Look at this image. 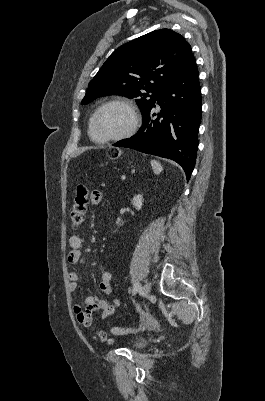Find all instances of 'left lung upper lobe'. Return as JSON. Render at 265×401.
I'll return each mask as SVG.
<instances>
[{
    "label": "left lung upper lobe",
    "mask_w": 265,
    "mask_h": 401,
    "mask_svg": "<svg viewBox=\"0 0 265 401\" xmlns=\"http://www.w3.org/2000/svg\"><path fill=\"white\" fill-rule=\"evenodd\" d=\"M192 56L191 46L183 36L170 29L143 35L110 55L90 81L81 104L107 95L138 98L136 103L143 116Z\"/></svg>",
    "instance_id": "1"
}]
</instances>
